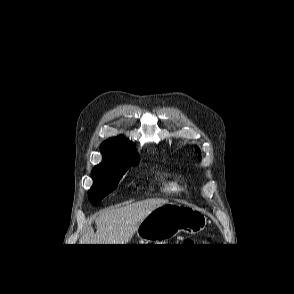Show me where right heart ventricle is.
<instances>
[{
    "instance_id": "obj_1",
    "label": "right heart ventricle",
    "mask_w": 294,
    "mask_h": 294,
    "mask_svg": "<svg viewBox=\"0 0 294 294\" xmlns=\"http://www.w3.org/2000/svg\"><path fill=\"white\" fill-rule=\"evenodd\" d=\"M162 189L167 193L178 194L185 191V185L180 179L171 178L163 182Z\"/></svg>"
}]
</instances>
